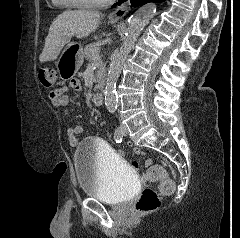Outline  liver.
Here are the masks:
<instances>
[{
    "label": "liver",
    "mask_w": 240,
    "mask_h": 238,
    "mask_svg": "<svg viewBox=\"0 0 240 238\" xmlns=\"http://www.w3.org/2000/svg\"><path fill=\"white\" fill-rule=\"evenodd\" d=\"M100 23V13L91 10H68L51 24L39 59L41 62L55 60L62 48L73 36L83 38L91 34Z\"/></svg>",
    "instance_id": "obj_1"
}]
</instances>
